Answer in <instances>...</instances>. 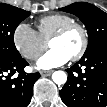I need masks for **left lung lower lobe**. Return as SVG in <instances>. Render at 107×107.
Instances as JSON below:
<instances>
[{
	"label": "left lung lower lobe",
	"instance_id": "0a47b994",
	"mask_svg": "<svg viewBox=\"0 0 107 107\" xmlns=\"http://www.w3.org/2000/svg\"><path fill=\"white\" fill-rule=\"evenodd\" d=\"M81 67L84 68L83 71ZM67 72V82L60 90L61 99L66 106H107V45L83 55Z\"/></svg>",
	"mask_w": 107,
	"mask_h": 107
}]
</instances>
